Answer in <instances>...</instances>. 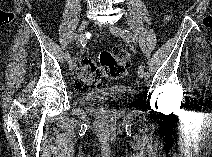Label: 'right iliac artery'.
<instances>
[{"label":"right iliac artery","instance_id":"obj_1","mask_svg":"<svg viewBox=\"0 0 212 157\" xmlns=\"http://www.w3.org/2000/svg\"><path fill=\"white\" fill-rule=\"evenodd\" d=\"M74 40H76V35H73V36H71V38H70V41H74ZM65 59H66V61H67L68 63L71 62V56H70V54H69L68 51H66V53H65Z\"/></svg>","mask_w":212,"mask_h":157}]
</instances>
